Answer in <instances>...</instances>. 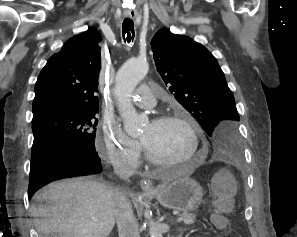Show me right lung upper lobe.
<instances>
[{"label":"right lung upper lobe","instance_id":"obj_1","mask_svg":"<svg viewBox=\"0 0 297 237\" xmlns=\"http://www.w3.org/2000/svg\"><path fill=\"white\" fill-rule=\"evenodd\" d=\"M101 40L97 30L88 29L49 58L35 84L32 122L56 112H96Z\"/></svg>","mask_w":297,"mask_h":237}]
</instances>
